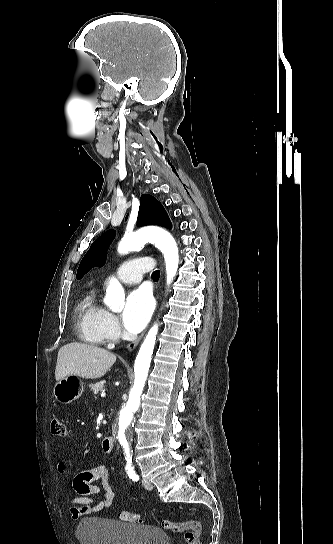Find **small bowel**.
Here are the masks:
<instances>
[{
	"mask_svg": "<svg viewBox=\"0 0 333 544\" xmlns=\"http://www.w3.org/2000/svg\"><path fill=\"white\" fill-rule=\"evenodd\" d=\"M57 470L59 473H65L66 463L59 461ZM109 476L110 467L107 464L98 465L75 476L73 487L78 496L68 500L72 518L77 519L83 515L98 513L112 505L116 493L109 481ZM98 480L101 486L95 484ZM99 495H102V498H96Z\"/></svg>",
	"mask_w": 333,
	"mask_h": 544,
	"instance_id": "small-bowel-1",
	"label": "small bowel"
}]
</instances>
